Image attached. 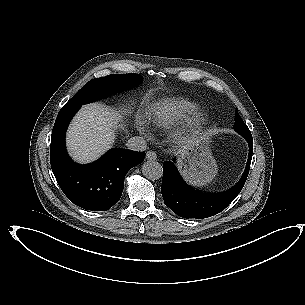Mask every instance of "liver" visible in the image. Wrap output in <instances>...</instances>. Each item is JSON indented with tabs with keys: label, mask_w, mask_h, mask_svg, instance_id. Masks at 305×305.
Returning <instances> with one entry per match:
<instances>
[{
	"label": "liver",
	"mask_w": 305,
	"mask_h": 305,
	"mask_svg": "<svg viewBox=\"0 0 305 305\" xmlns=\"http://www.w3.org/2000/svg\"><path fill=\"white\" fill-rule=\"evenodd\" d=\"M164 119V114H158L159 121ZM121 121L122 116L118 111L100 102L82 106L71 120L66 133L70 157L80 164L97 160L113 146L115 130ZM191 144L192 141L183 143L178 152L182 153Z\"/></svg>",
	"instance_id": "liver-1"
}]
</instances>
